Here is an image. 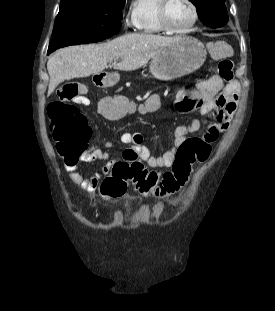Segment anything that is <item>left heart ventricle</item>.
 I'll return each instance as SVG.
<instances>
[{"label":"left heart ventricle","instance_id":"left-heart-ventricle-1","mask_svg":"<svg viewBox=\"0 0 275 311\" xmlns=\"http://www.w3.org/2000/svg\"><path fill=\"white\" fill-rule=\"evenodd\" d=\"M167 16L170 25L175 29H180L190 23L193 13L186 0H171Z\"/></svg>","mask_w":275,"mask_h":311}]
</instances>
